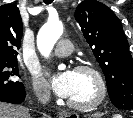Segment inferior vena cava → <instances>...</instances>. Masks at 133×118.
<instances>
[{
	"mask_svg": "<svg viewBox=\"0 0 133 118\" xmlns=\"http://www.w3.org/2000/svg\"><path fill=\"white\" fill-rule=\"evenodd\" d=\"M36 94H37L38 100L42 104H46L49 101L50 91L48 89H40L37 91Z\"/></svg>",
	"mask_w": 133,
	"mask_h": 118,
	"instance_id": "1",
	"label": "inferior vena cava"
}]
</instances>
